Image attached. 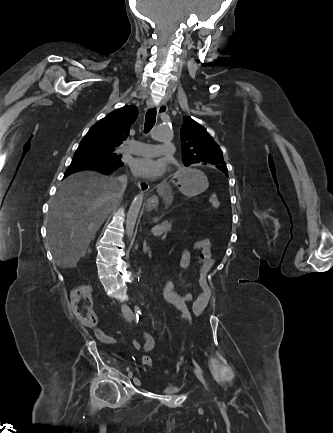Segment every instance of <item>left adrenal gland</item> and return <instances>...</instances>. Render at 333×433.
<instances>
[{
  "mask_svg": "<svg viewBox=\"0 0 333 433\" xmlns=\"http://www.w3.org/2000/svg\"><path fill=\"white\" fill-rule=\"evenodd\" d=\"M143 251L146 253V252H148V253H150V248L147 246V244H146V239L144 240V242H143Z\"/></svg>",
  "mask_w": 333,
  "mask_h": 433,
  "instance_id": "1",
  "label": "left adrenal gland"
}]
</instances>
